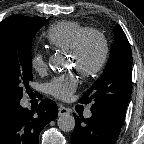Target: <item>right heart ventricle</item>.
<instances>
[{
    "instance_id": "obj_1",
    "label": "right heart ventricle",
    "mask_w": 144,
    "mask_h": 144,
    "mask_svg": "<svg viewBox=\"0 0 144 144\" xmlns=\"http://www.w3.org/2000/svg\"><path fill=\"white\" fill-rule=\"evenodd\" d=\"M88 30L89 27L75 21H60L49 27L45 37L51 47L71 51L79 37Z\"/></svg>"
}]
</instances>
